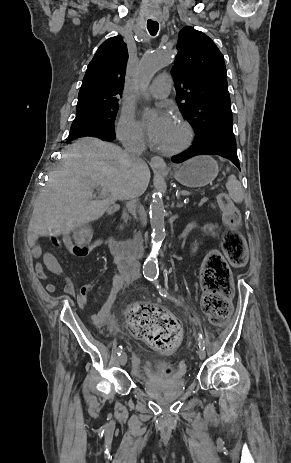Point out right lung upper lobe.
Wrapping results in <instances>:
<instances>
[{"mask_svg": "<svg viewBox=\"0 0 291 463\" xmlns=\"http://www.w3.org/2000/svg\"><path fill=\"white\" fill-rule=\"evenodd\" d=\"M128 60L121 36L109 38L89 63L78 95L76 117L118 103Z\"/></svg>", "mask_w": 291, "mask_h": 463, "instance_id": "1", "label": "right lung upper lobe"}]
</instances>
